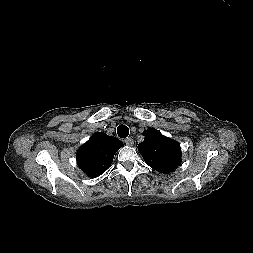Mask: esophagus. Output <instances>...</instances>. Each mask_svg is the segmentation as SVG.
<instances>
[{
    "mask_svg": "<svg viewBox=\"0 0 253 253\" xmlns=\"http://www.w3.org/2000/svg\"><path fill=\"white\" fill-rule=\"evenodd\" d=\"M125 144H126L127 146H133L134 141H133V139H131V138H127V139H125Z\"/></svg>",
    "mask_w": 253,
    "mask_h": 253,
    "instance_id": "34e87169",
    "label": "esophagus"
}]
</instances>
